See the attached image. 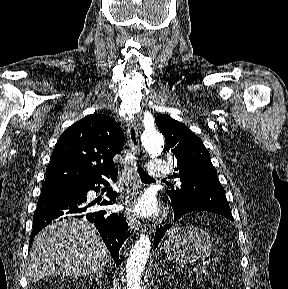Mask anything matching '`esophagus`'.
I'll use <instances>...</instances> for the list:
<instances>
[{
	"label": "esophagus",
	"instance_id": "obj_1",
	"mask_svg": "<svg viewBox=\"0 0 288 289\" xmlns=\"http://www.w3.org/2000/svg\"><path fill=\"white\" fill-rule=\"evenodd\" d=\"M127 143L128 150L131 154L137 155L140 151L139 134L136 125V121L131 119L127 126ZM124 180L128 183L127 191L125 192V203L130 205L134 202V180L136 179L135 169L132 164L125 166L124 169ZM125 217L129 228L133 231H138L140 223L134 212L128 210L125 212Z\"/></svg>",
	"mask_w": 288,
	"mask_h": 289
}]
</instances>
